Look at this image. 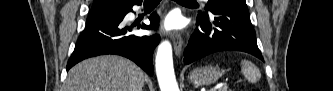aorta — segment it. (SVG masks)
Here are the masks:
<instances>
[{
    "mask_svg": "<svg viewBox=\"0 0 333 91\" xmlns=\"http://www.w3.org/2000/svg\"><path fill=\"white\" fill-rule=\"evenodd\" d=\"M156 74L161 91H179L173 67L172 46L169 41L162 42L158 47Z\"/></svg>",
    "mask_w": 333,
    "mask_h": 91,
    "instance_id": "obj_1",
    "label": "aorta"
}]
</instances>
